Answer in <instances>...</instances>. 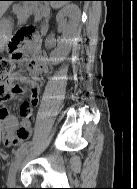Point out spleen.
I'll return each mask as SVG.
<instances>
[{
	"label": "spleen",
	"instance_id": "1",
	"mask_svg": "<svg viewBox=\"0 0 137 189\" xmlns=\"http://www.w3.org/2000/svg\"><path fill=\"white\" fill-rule=\"evenodd\" d=\"M50 4H51V6L53 8L57 9V8H60V7L64 6V5H66L67 2H64V1H51Z\"/></svg>",
	"mask_w": 137,
	"mask_h": 189
}]
</instances>
